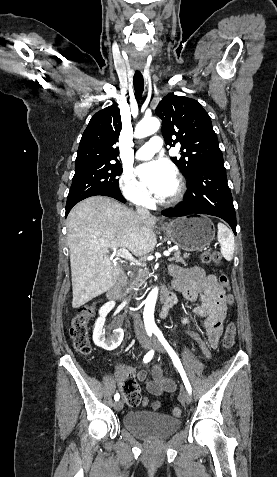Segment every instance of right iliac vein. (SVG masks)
Here are the masks:
<instances>
[{"label": "right iliac vein", "instance_id": "63e3f726", "mask_svg": "<svg viewBox=\"0 0 277 477\" xmlns=\"http://www.w3.org/2000/svg\"><path fill=\"white\" fill-rule=\"evenodd\" d=\"M142 347H143L145 350H147V349L150 348V345H149L148 342L143 341V342H142ZM114 408H115L117 411L122 410V408H123V402H122L121 400L116 401V402L114 403Z\"/></svg>", "mask_w": 277, "mask_h": 477}]
</instances>
